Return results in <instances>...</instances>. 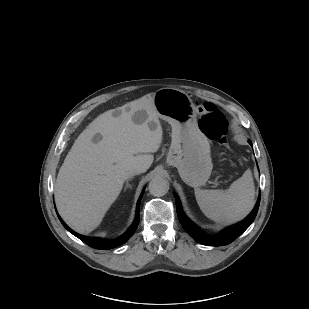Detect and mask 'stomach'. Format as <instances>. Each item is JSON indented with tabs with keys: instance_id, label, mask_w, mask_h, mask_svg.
<instances>
[{
	"instance_id": "stomach-1",
	"label": "stomach",
	"mask_w": 309,
	"mask_h": 309,
	"mask_svg": "<svg viewBox=\"0 0 309 309\" xmlns=\"http://www.w3.org/2000/svg\"><path fill=\"white\" fill-rule=\"evenodd\" d=\"M153 102L158 116L172 127L167 164L178 169L187 185H204L212 171L210 145L198 127L191 98L182 90L161 88L154 93Z\"/></svg>"
}]
</instances>
